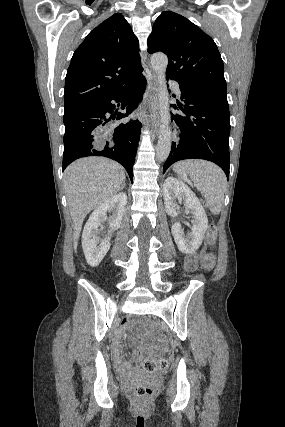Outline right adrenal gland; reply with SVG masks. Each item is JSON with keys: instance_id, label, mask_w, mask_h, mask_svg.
<instances>
[{"instance_id": "right-adrenal-gland-1", "label": "right adrenal gland", "mask_w": 285, "mask_h": 427, "mask_svg": "<svg viewBox=\"0 0 285 427\" xmlns=\"http://www.w3.org/2000/svg\"><path fill=\"white\" fill-rule=\"evenodd\" d=\"M126 186V184L124 183L123 185H122V187H121V190H123V188Z\"/></svg>"}]
</instances>
